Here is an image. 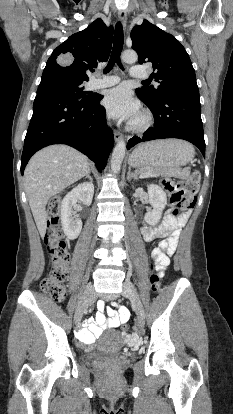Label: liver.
<instances>
[{"label":"liver","instance_id":"6515ba94","mask_svg":"<svg viewBox=\"0 0 233 414\" xmlns=\"http://www.w3.org/2000/svg\"><path fill=\"white\" fill-rule=\"evenodd\" d=\"M90 171L88 158L67 145H51L28 162L24 187L41 237L46 233V204L52 196L80 180Z\"/></svg>","mask_w":233,"mask_h":414}]
</instances>
